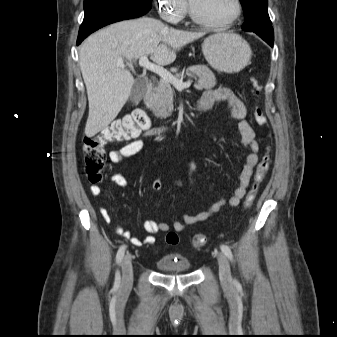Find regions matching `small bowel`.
I'll list each match as a JSON object with an SVG mask.
<instances>
[{
  "label": "small bowel",
  "instance_id": "small-bowel-1",
  "mask_svg": "<svg viewBox=\"0 0 337 337\" xmlns=\"http://www.w3.org/2000/svg\"><path fill=\"white\" fill-rule=\"evenodd\" d=\"M216 102H225L232 117L239 120L238 128L241 134V143L249 150L245 164L238 175V186L235 188L232 195L227 199L220 198L215 200L212 204L200 212L184 213L182 215V221L174 220L172 224L159 222L153 219L146 220L143 223V229L146 233H148V235L144 238L132 236L131 232L125 229L122 225L116 226L115 232L117 235L129 239L135 246L153 245L156 242V239L153 236L155 233L168 232L171 229L176 232H182L186 225H192L197 222L204 221L212 217L221 209L237 206L241 202L246 194L254 168L258 163L257 152L259 150V145L255 140L254 130L245 119L247 109L242 99L232 89L228 87H219L204 91L198 105L209 110ZM143 146L144 142L142 139L132 140L120 148L111 150L108 154V158L111 163H120L124 159L140 153L143 150ZM197 168V160L190 161L187 166L188 179L192 185L195 183L193 175ZM110 181L121 188H125L128 185L126 178L120 173L111 174ZM151 186L154 191L159 192L162 189V182L160 180H154ZM90 192L93 196H99L101 194V188L99 185L92 184ZM100 214L106 222H111L112 218L105 207L102 206L100 208Z\"/></svg>",
  "mask_w": 337,
  "mask_h": 337
}]
</instances>
